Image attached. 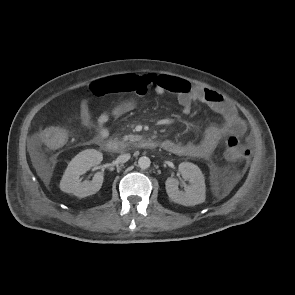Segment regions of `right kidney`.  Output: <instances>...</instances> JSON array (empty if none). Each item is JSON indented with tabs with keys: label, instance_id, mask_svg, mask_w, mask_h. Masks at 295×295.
Segmentation results:
<instances>
[{
	"label": "right kidney",
	"instance_id": "right-kidney-1",
	"mask_svg": "<svg viewBox=\"0 0 295 295\" xmlns=\"http://www.w3.org/2000/svg\"><path fill=\"white\" fill-rule=\"evenodd\" d=\"M103 160L101 152L87 149L76 155L69 163L60 182V189L77 197L84 198L98 192L102 186L104 174L97 172L92 181L81 182L80 176L85 174L92 166Z\"/></svg>",
	"mask_w": 295,
	"mask_h": 295
}]
</instances>
